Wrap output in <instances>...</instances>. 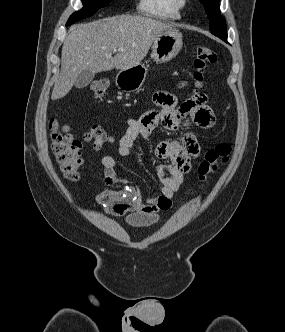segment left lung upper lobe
<instances>
[{"mask_svg": "<svg viewBox=\"0 0 285 332\" xmlns=\"http://www.w3.org/2000/svg\"><path fill=\"white\" fill-rule=\"evenodd\" d=\"M205 7V12L210 19V31L215 36L227 42L225 19L221 16L219 0H200Z\"/></svg>", "mask_w": 285, "mask_h": 332, "instance_id": "1", "label": "left lung upper lobe"}]
</instances>
